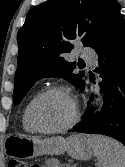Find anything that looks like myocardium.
Masks as SVG:
<instances>
[{
	"label": "myocardium",
	"instance_id": "obj_1",
	"mask_svg": "<svg viewBox=\"0 0 125 167\" xmlns=\"http://www.w3.org/2000/svg\"><path fill=\"white\" fill-rule=\"evenodd\" d=\"M56 92L66 95L71 101L72 108H73L72 117L66 124L60 127H57V128L43 129V128L36 126L33 120V112H34L35 106L43 97H45L48 94L56 93ZM78 118H79V108L75 100V97L73 93L71 92V90L68 87L63 86V85H52V86L45 88L33 98L28 108V120H29V123L33 131L42 133V134H54V133H60V132L67 131L76 124Z\"/></svg>",
	"mask_w": 125,
	"mask_h": 167
}]
</instances>
